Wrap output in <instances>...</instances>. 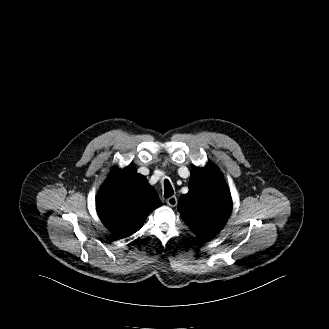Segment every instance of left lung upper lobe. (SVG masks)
Masks as SVG:
<instances>
[{
    "label": "left lung upper lobe",
    "instance_id": "left-lung-upper-lobe-1",
    "mask_svg": "<svg viewBox=\"0 0 329 329\" xmlns=\"http://www.w3.org/2000/svg\"><path fill=\"white\" fill-rule=\"evenodd\" d=\"M232 210V200L222 174L209 162L192 167L189 192L180 198L178 211L184 222L201 239L220 232Z\"/></svg>",
    "mask_w": 329,
    "mask_h": 329
}]
</instances>
